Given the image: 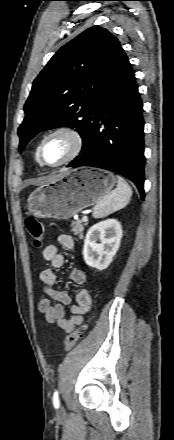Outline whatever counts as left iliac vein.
Wrapping results in <instances>:
<instances>
[{
	"label": "left iliac vein",
	"instance_id": "left-iliac-vein-1",
	"mask_svg": "<svg viewBox=\"0 0 174 440\" xmlns=\"http://www.w3.org/2000/svg\"><path fill=\"white\" fill-rule=\"evenodd\" d=\"M64 411H65L64 408H63L62 406H60V408H59V410H58V413H59V414H62V413H64Z\"/></svg>",
	"mask_w": 174,
	"mask_h": 440
}]
</instances>
